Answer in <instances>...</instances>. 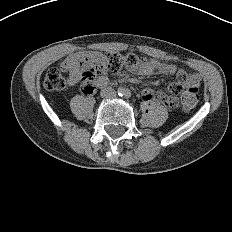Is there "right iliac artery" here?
I'll list each match as a JSON object with an SVG mask.
<instances>
[{
    "label": "right iliac artery",
    "mask_w": 232,
    "mask_h": 232,
    "mask_svg": "<svg viewBox=\"0 0 232 232\" xmlns=\"http://www.w3.org/2000/svg\"><path fill=\"white\" fill-rule=\"evenodd\" d=\"M121 91H122V89H121V88H119V89H118L119 94H121V93H120Z\"/></svg>",
    "instance_id": "82829eb1"
}]
</instances>
